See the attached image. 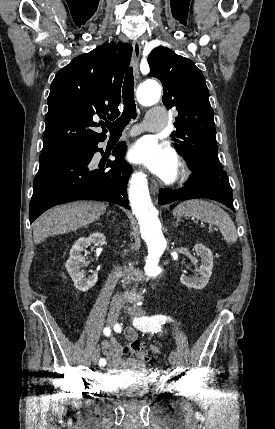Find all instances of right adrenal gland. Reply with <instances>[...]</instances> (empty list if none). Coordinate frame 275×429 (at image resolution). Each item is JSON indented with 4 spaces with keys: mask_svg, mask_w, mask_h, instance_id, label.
<instances>
[{
    "mask_svg": "<svg viewBox=\"0 0 275 429\" xmlns=\"http://www.w3.org/2000/svg\"><path fill=\"white\" fill-rule=\"evenodd\" d=\"M110 213H115V212H113V211H112V212H111V211H109V212H108V215H109ZM115 214H116V213H115ZM116 215H117V214H116Z\"/></svg>",
    "mask_w": 275,
    "mask_h": 429,
    "instance_id": "2a0ac1e0",
    "label": "right adrenal gland"
}]
</instances>
